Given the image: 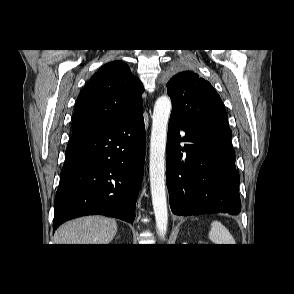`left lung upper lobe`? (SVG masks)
<instances>
[{
	"label": "left lung upper lobe",
	"instance_id": "left-lung-upper-lobe-1",
	"mask_svg": "<svg viewBox=\"0 0 294 294\" xmlns=\"http://www.w3.org/2000/svg\"><path fill=\"white\" fill-rule=\"evenodd\" d=\"M171 115L194 126L229 128L225 108L213 86L192 71L175 74L167 83Z\"/></svg>",
	"mask_w": 294,
	"mask_h": 294
}]
</instances>
